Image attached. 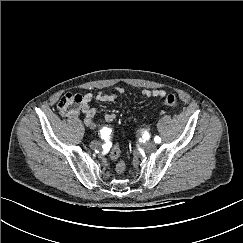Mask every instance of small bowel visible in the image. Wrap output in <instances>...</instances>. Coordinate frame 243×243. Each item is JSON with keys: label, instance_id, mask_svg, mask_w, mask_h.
Masks as SVG:
<instances>
[{"label": "small bowel", "instance_id": "c3829d8e", "mask_svg": "<svg viewBox=\"0 0 243 243\" xmlns=\"http://www.w3.org/2000/svg\"><path fill=\"white\" fill-rule=\"evenodd\" d=\"M116 92L119 94H123L126 90L122 87H116ZM141 95L146 98H159L165 95V92L160 89H153V90H143ZM118 97L116 93H105V92H98L95 96V99L100 103H111ZM94 96L91 93H87L84 95V100L80 109H78L74 114L77 115L79 112L83 114L84 123L86 126L93 128L95 123L93 121V117L100 113V111L96 108L90 106V102L93 100ZM104 119L106 122L111 123L115 120L116 116L112 112H105L103 113ZM111 131L109 128H104L102 130V136L105 139L110 137Z\"/></svg>", "mask_w": 243, "mask_h": 243}]
</instances>
